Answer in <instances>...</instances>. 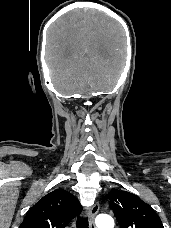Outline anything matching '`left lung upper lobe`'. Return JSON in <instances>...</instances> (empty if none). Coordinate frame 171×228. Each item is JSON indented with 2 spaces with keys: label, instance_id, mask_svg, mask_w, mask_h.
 <instances>
[{
  "label": "left lung upper lobe",
  "instance_id": "left-lung-upper-lobe-1",
  "mask_svg": "<svg viewBox=\"0 0 171 228\" xmlns=\"http://www.w3.org/2000/svg\"><path fill=\"white\" fill-rule=\"evenodd\" d=\"M106 198L121 228H164L151 206L137 195L112 189Z\"/></svg>",
  "mask_w": 171,
  "mask_h": 228
}]
</instances>
